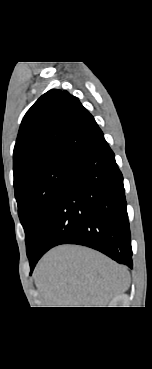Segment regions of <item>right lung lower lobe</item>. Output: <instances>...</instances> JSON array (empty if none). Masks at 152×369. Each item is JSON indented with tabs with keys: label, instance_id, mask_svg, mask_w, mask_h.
<instances>
[{
	"label": "right lung lower lobe",
	"instance_id": "right-lung-lower-lobe-1",
	"mask_svg": "<svg viewBox=\"0 0 152 369\" xmlns=\"http://www.w3.org/2000/svg\"><path fill=\"white\" fill-rule=\"evenodd\" d=\"M123 176L102 136L72 163L29 258L31 273L54 246L91 247L132 268L131 234Z\"/></svg>",
	"mask_w": 152,
	"mask_h": 369
}]
</instances>
